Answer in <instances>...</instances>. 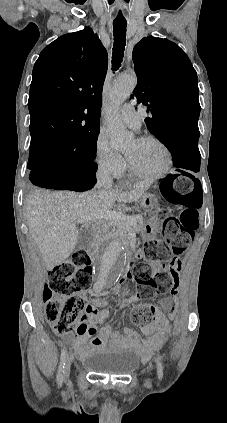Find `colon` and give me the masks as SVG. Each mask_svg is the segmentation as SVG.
I'll list each match as a JSON object with an SVG mask.
<instances>
[{
  "mask_svg": "<svg viewBox=\"0 0 227 423\" xmlns=\"http://www.w3.org/2000/svg\"><path fill=\"white\" fill-rule=\"evenodd\" d=\"M160 192L178 214L161 211L163 231L174 255H180L190 245L199 226L198 209L202 205V191L199 182L189 174L168 175L158 183ZM149 264L133 266L135 281L140 286V297L151 299L171 290L179 280L181 262L170 257L161 241H149L143 248ZM92 281L89 256L75 252L69 260L55 266L48 275L44 289L46 319L53 330L60 335L72 337L81 330L80 322L86 308L82 292ZM155 308L140 304L132 313L135 325L144 327L154 317Z\"/></svg>",
  "mask_w": 227,
  "mask_h": 423,
  "instance_id": "obj_1",
  "label": "colon"
}]
</instances>
